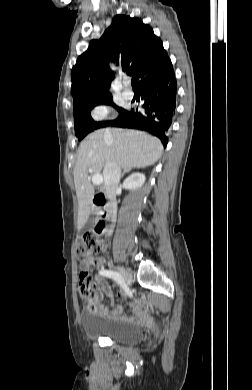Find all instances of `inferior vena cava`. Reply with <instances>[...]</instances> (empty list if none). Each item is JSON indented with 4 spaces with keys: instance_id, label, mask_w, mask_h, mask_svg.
<instances>
[{
    "instance_id": "1",
    "label": "inferior vena cava",
    "mask_w": 252,
    "mask_h": 390,
    "mask_svg": "<svg viewBox=\"0 0 252 390\" xmlns=\"http://www.w3.org/2000/svg\"><path fill=\"white\" fill-rule=\"evenodd\" d=\"M104 184H105V194L109 200V208L112 211H115L116 208V195L119 189V183L121 178V167L115 162L106 163L104 170ZM111 232H108V236Z\"/></svg>"
}]
</instances>
